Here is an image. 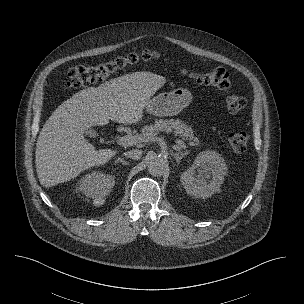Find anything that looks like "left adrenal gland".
<instances>
[{
	"instance_id": "left-adrenal-gland-1",
	"label": "left adrenal gland",
	"mask_w": 304,
	"mask_h": 304,
	"mask_svg": "<svg viewBox=\"0 0 304 304\" xmlns=\"http://www.w3.org/2000/svg\"><path fill=\"white\" fill-rule=\"evenodd\" d=\"M189 154V151L188 150H186V151H184V152H176V153H172V155L174 156V158L176 159V162H177V164H179L180 163V160L184 157V156H186V155H188Z\"/></svg>"
}]
</instances>
